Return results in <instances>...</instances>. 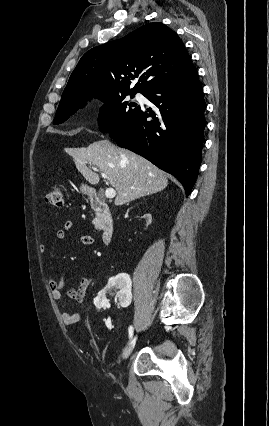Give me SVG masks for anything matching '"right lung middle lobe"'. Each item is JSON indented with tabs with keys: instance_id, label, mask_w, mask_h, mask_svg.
<instances>
[{
	"instance_id": "obj_1",
	"label": "right lung middle lobe",
	"mask_w": 269,
	"mask_h": 426,
	"mask_svg": "<svg viewBox=\"0 0 269 426\" xmlns=\"http://www.w3.org/2000/svg\"><path fill=\"white\" fill-rule=\"evenodd\" d=\"M137 92H122L110 95H91V96H78L62 98L58 106L54 124H60L66 121L73 115L79 108L85 106L88 100L94 96H99L105 104L100 109L98 118L99 129L102 132H110L118 128L127 118L135 113L140 107L137 104L124 101L127 95L131 98Z\"/></svg>"
}]
</instances>
